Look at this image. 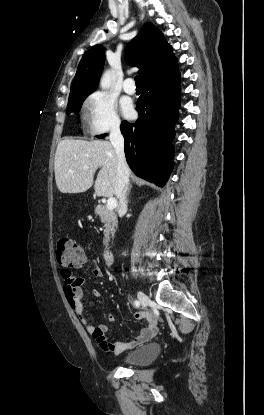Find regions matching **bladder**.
<instances>
[{"instance_id":"31cf9c89","label":"bladder","mask_w":264,"mask_h":415,"mask_svg":"<svg viewBox=\"0 0 264 415\" xmlns=\"http://www.w3.org/2000/svg\"><path fill=\"white\" fill-rule=\"evenodd\" d=\"M161 353V346L155 343L140 347L129 353L123 360L124 364L142 367L153 362Z\"/></svg>"}]
</instances>
